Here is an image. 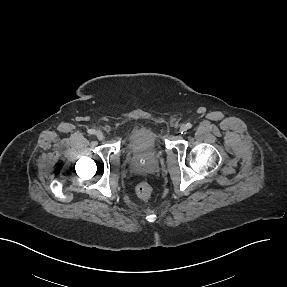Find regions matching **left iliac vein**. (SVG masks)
<instances>
[{"label":"left iliac vein","instance_id":"1","mask_svg":"<svg viewBox=\"0 0 287 287\" xmlns=\"http://www.w3.org/2000/svg\"><path fill=\"white\" fill-rule=\"evenodd\" d=\"M187 130H188V128H187V126H186L185 124H183V125L180 126V131H181L182 133H185Z\"/></svg>","mask_w":287,"mask_h":287}]
</instances>
